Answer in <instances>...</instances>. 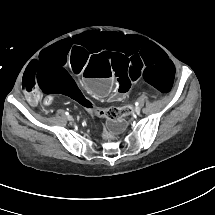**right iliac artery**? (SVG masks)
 <instances>
[{"label":"right iliac artery","mask_w":215,"mask_h":215,"mask_svg":"<svg viewBox=\"0 0 215 215\" xmlns=\"http://www.w3.org/2000/svg\"><path fill=\"white\" fill-rule=\"evenodd\" d=\"M65 114L69 116V113H68V112H65Z\"/></svg>","instance_id":"obj_1"}]
</instances>
